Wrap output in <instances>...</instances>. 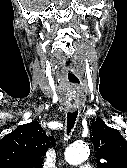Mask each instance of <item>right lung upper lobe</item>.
Here are the masks:
<instances>
[{"label":"right lung upper lobe","instance_id":"1","mask_svg":"<svg viewBox=\"0 0 127 168\" xmlns=\"http://www.w3.org/2000/svg\"><path fill=\"white\" fill-rule=\"evenodd\" d=\"M51 144L38 121L20 125L0 140V168H42Z\"/></svg>","mask_w":127,"mask_h":168}]
</instances>
